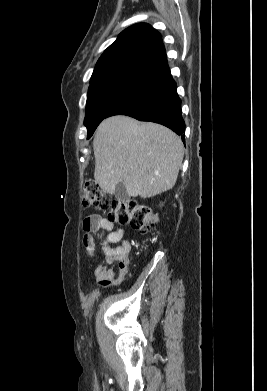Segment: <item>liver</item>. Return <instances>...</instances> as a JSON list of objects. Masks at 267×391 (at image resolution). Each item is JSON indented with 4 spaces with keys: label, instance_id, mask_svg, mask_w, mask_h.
<instances>
[{
    "label": "liver",
    "instance_id": "obj_1",
    "mask_svg": "<svg viewBox=\"0 0 267 391\" xmlns=\"http://www.w3.org/2000/svg\"><path fill=\"white\" fill-rule=\"evenodd\" d=\"M95 182L109 194L123 182L129 196L149 198L173 188L184 156L181 139L168 128L113 116L93 140Z\"/></svg>",
    "mask_w": 267,
    "mask_h": 391
}]
</instances>
